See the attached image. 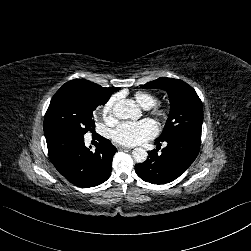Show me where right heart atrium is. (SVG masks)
Here are the masks:
<instances>
[{
  "label": "right heart atrium",
  "instance_id": "obj_1",
  "mask_svg": "<svg viewBox=\"0 0 251 251\" xmlns=\"http://www.w3.org/2000/svg\"><path fill=\"white\" fill-rule=\"evenodd\" d=\"M117 100L118 99L116 96H112L100 106V115L102 119L108 124H114L116 122L114 110Z\"/></svg>",
  "mask_w": 251,
  "mask_h": 251
}]
</instances>
